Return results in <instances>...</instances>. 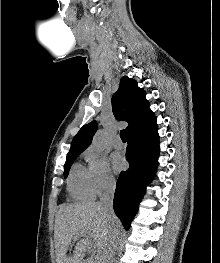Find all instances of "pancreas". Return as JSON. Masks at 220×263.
<instances>
[{"label": "pancreas", "mask_w": 220, "mask_h": 263, "mask_svg": "<svg viewBox=\"0 0 220 263\" xmlns=\"http://www.w3.org/2000/svg\"><path fill=\"white\" fill-rule=\"evenodd\" d=\"M93 263H103V259H97Z\"/></svg>", "instance_id": "1"}]
</instances>
